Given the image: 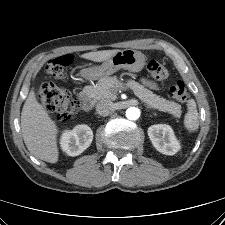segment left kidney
Wrapping results in <instances>:
<instances>
[{
    "label": "left kidney",
    "instance_id": "1",
    "mask_svg": "<svg viewBox=\"0 0 225 225\" xmlns=\"http://www.w3.org/2000/svg\"><path fill=\"white\" fill-rule=\"evenodd\" d=\"M148 136L156 150L162 154L174 155L180 148V144L169 125L157 124L150 126Z\"/></svg>",
    "mask_w": 225,
    "mask_h": 225
}]
</instances>
